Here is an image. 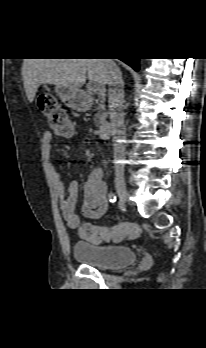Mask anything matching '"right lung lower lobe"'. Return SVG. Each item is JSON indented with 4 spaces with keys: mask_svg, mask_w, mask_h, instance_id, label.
<instances>
[{
    "mask_svg": "<svg viewBox=\"0 0 206 348\" xmlns=\"http://www.w3.org/2000/svg\"><path fill=\"white\" fill-rule=\"evenodd\" d=\"M121 60L127 63L128 65H130L134 70L138 71L139 69L138 58H129V59H121Z\"/></svg>",
    "mask_w": 206,
    "mask_h": 348,
    "instance_id": "1",
    "label": "right lung lower lobe"
}]
</instances>
